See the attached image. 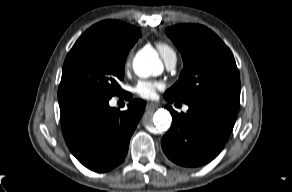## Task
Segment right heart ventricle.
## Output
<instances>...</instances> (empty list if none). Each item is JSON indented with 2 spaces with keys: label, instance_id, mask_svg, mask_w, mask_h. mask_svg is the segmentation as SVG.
<instances>
[{
  "label": "right heart ventricle",
  "instance_id": "e07e8e85",
  "mask_svg": "<svg viewBox=\"0 0 292 192\" xmlns=\"http://www.w3.org/2000/svg\"><path fill=\"white\" fill-rule=\"evenodd\" d=\"M156 46L164 61H166L171 56L176 55L174 49L167 43L158 42Z\"/></svg>",
  "mask_w": 292,
  "mask_h": 192
}]
</instances>
